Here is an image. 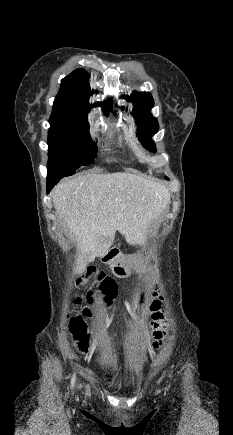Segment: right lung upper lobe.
<instances>
[{
	"instance_id": "1",
	"label": "right lung upper lobe",
	"mask_w": 233,
	"mask_h": 435,
	"mask_svg": "<svg viewBox=\"0 0 233 435\" xmlns=\"http://www.w3.org/2000/svg\"><path fill=\"white\" fill-rule=\"evenodd\" d=\"M88 73L80 68L72 72L61 81V88L57 94L49 121H65L77 117H87L91 105L89 98L93 91L89 85ZM98 104H94L97 106ZM102 110L109 114L111 108L107 101L103 102Z\"/></svg>"
}]
</instances>
